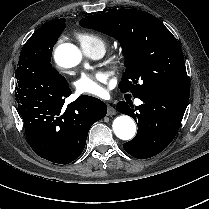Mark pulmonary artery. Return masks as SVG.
<instances>
[{
    "label": "pulmonary artery",
    "instance_id": "1",
    "mask_svg": "<svg viewBox=\"0 0 209 209\" xmlns=\"http://www.w3.org/2000/svg\"><path fill=\"white\" fill-rule=\"evenodd\" d=\"M88 54H89L91 57L95 58V59H99V58H101V57L103 56V54H104V49H102V48H97V49H94V50L90 51ZM135 103H136V104H140L141 101L137 99V100H135Z\"/></svg>",
    "mask_w": 209,
    "mask_h": 209
}]
</instances>
